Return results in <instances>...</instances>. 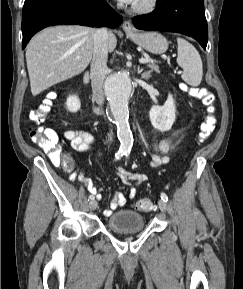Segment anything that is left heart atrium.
Instances as JSON below:
<instances>
[{
    "label": "left heart atrium",
    "instance_id": "1",
    "mask_svg": "<svg viewBox=\"0 0 243 289\" xmlns=\"http://www.w3.org/2000/svg\"><path fill=\"white\" fill-rule=\"evenodd\" d=\"M119 1L126 3V4H134L136 3L137 0H119Z\"/></svg>",
    "mask_w": 243,
    "mask_h": 289
}]
</instances>
